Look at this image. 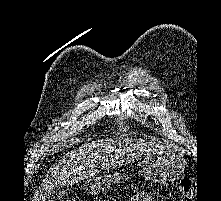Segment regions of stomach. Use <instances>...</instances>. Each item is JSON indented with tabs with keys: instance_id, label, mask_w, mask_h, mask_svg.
Listing matches in <instances>:
<instances>
[{
	"instance_id": "stomach-1",
	"label": "stomach",
	"mask_w": 221,
	"mask_h": 201,
	"mask_svg": "<svg viewBox=\"0 0 221 201\" xmlns=\"http://www.w3.org/2000/svg\"><path fill=\"white\" fill-rule=\"evenodd\" d=\"M185 160L183 155L175 150L160 149L146 155L142 161V175L149 181L165 184L178 178L184 171ZM121 175H106L89 178L84 189L92 195H96L118 183Z\"/></svg>"
}]
</instances>
